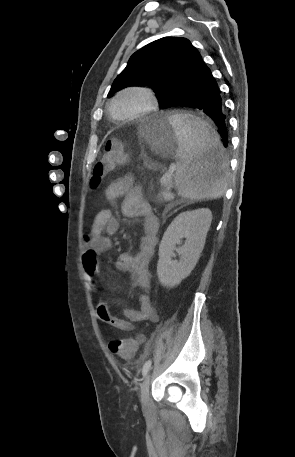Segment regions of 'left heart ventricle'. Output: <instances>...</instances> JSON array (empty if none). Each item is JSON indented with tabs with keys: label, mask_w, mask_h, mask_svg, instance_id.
<instances>
[{
	"label": "left heart ventricle",
	"mask_w": 295,
	"mask_h": 457,
	"mask_svg": "<svg viewBox=\"0 0 295 457\" xmlns=\"http://www.w3.org/2000/svg\"><path fill=\"white\" fill-rule=\"evenodd\" d=\"M144 104L142 96L134 93L126 94L116 101L114 111L117 116H129L140 110Z\"/></svg>",
	"instance_id": "1"
}]
</instances>
